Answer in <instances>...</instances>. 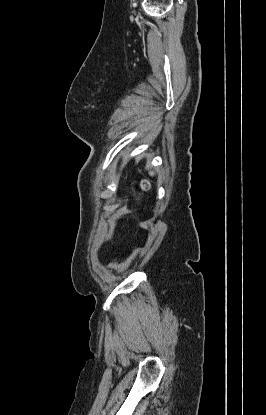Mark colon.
Instances as JSON below:
<instances>
[{
    "instance_id": "colon-1",
    "label": "colon",
    "mask_w": 266,
    "mask_h": 415,
    "mask_svg": "<svg viewBox=\"0 0 266 415\" xmlns=\"http://www.w3.org/2000/svg\"><path fill=\"white\" fill-rule=\"evenodd\" d=\"M142 189L146 190L148 188V185L146 183L141 184Z\"/></svg>"
}]
</instances>
